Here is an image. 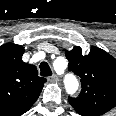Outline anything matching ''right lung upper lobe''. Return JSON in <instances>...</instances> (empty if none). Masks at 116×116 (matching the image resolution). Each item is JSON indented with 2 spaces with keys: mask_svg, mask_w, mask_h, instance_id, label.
<instances>
[{
  "mask_svg": "<svg viewBox=\"0 0 116 116\" xmlns=\"http://www.w3.org/2000/svg\"><path fill=\"white\" fill-rule=\"evenodd\" d=\"M24 48L13 43L0 46V116H21L39 97L45 78L34 65L22 61Z\"/></svg>",
  "mask_w": 116,
  "mask_h": 116,
  "instance_id": "cb5924a9",
  "label": "right lung upper lobe"
}]
</instances>
